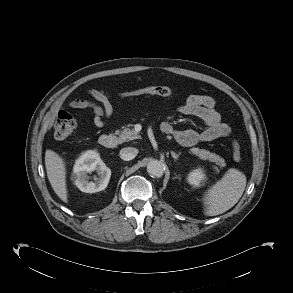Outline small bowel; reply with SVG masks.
<instances>
[{"instance_id":"c3829d8e","label":"small bowel","mask_w":293,"mask_h":293,"mask_svg":"<svg viewBox=\"0 0 293 293\" xmlns=\"http://www.w3.org/2000/svg\"><path fill=\"white\" fill-rule=\"evenodd\" d=\"M87 98H75L69 102L72 109H89L93 114V123L96 127H103L113 114V104L110 95L103 90L91 89ZM215 100L208 95L191 94L178 108L183 115L201 119L206 128L202 132L193 129L178 130L171 123L164 122L162 129L172 134L182 145L192 146L199 142H210L226 137L231 132V126L222 121L220 113L215 108Z\"/></svg>"}]
</instances>
